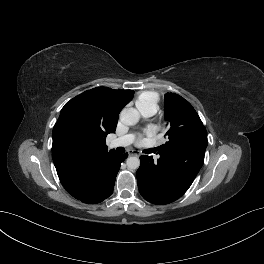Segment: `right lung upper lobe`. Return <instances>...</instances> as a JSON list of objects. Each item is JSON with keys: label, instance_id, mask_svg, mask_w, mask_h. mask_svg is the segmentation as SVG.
I'll return each instance as SVG.
<instances>
[{"label": "right lung upper lobe", "instance_id": "obj_1", "mask_svg": "<svg viewBox=\"0 0 264 264\" xmlns=\"http://www.w3.org/2000/svg\"><path fill=\"white\" fill-rule=\"evenodd\" d=\"M132 90H113L97 87L85 91L66 105L81 102L86 107L91 136L76 140L64 133L58 125L53 128L52 157L58 177L65 189H74L84 168L108 153L106 136L116 130L118 115L132 99Z\"/></svg>", "mask_w": 264, "mask_h": 264}]
</instances>
